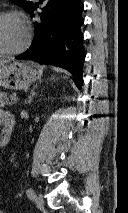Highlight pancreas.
<instances>
[{"mask_svg": "<svg viewBox=\"0 0 128 213\" xmlns=\"http://www.w3.org/2000/svg\"><path fill=\"white\" fill-rule=\"evenodd\" d=\"M16 94H12L8 97L6 92H0V107L11 106L16 103Z\"/></svg>", "mask_w": 128, "mask_h": 213, "instance_id": "1", "label": "pancreas"}]
</instances>
